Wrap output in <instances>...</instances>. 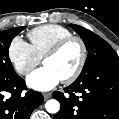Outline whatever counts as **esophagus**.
I'll return each mask as SVG.
<instances>
[{
  "label": "esophagus",
  "instance_id": "esophagus-1",
  "mask_svg": "<svg viewBox=\"0 0 119 119\" xmlns=\"http://www.w3.org/2000/svg\"><path fill=\"white\" fill-rule=\"evenodd\" d=\"M43 96H44V99L47 100L51 97V93L49 92L43 93Z\"/></svg>",
  "mask_w": 119,
  "mask_h": 119
}]
</instances>
